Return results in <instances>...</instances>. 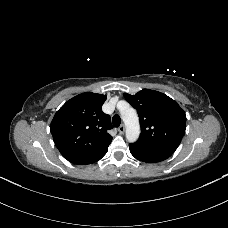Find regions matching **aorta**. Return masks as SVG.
I'll use <instances>...</instances> for the list:
<instances>
[{
    "label": "aorta",
    "mask_w": 228,
    "mask_h": 228,
    "mask_svg": "<svg viewBox=\"0 0 228 228\" xmlns=\"http://www.w3.org/2000/svg\"><path fill=\"white\" fill-rule=\"evenodd\" d=\"M121 117L126 126V138L129 142L137 141L140 135V124L137 112L126 102H120Z\"/></svg>",
    "instance_id": "aorta-1"
}]
</instances>
